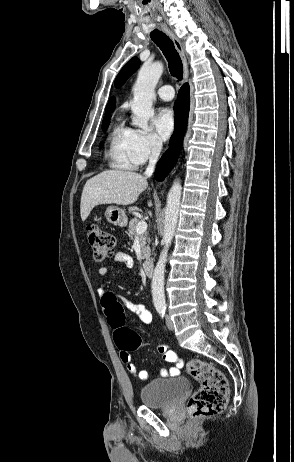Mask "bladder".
I'll return each mask as SVG.
<instances>
[{"mask_svg": "<svg viewBox=\"0 0 294 462\" xmlns=\"http://www.w3.org/2000/svg\"><path fill=\"white\" fill-rule=\"evenodd\" d=\"M189 389L184 377L157 379L144 384L140 389L142 404L150 408H165L180 399Z\"/></svg>", "mask_w": 294, "mask_h": 462, "instance_id": "31cf9c89", "label": "bladder"}]
</instances>
